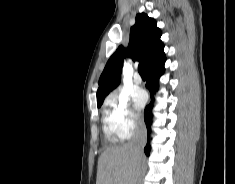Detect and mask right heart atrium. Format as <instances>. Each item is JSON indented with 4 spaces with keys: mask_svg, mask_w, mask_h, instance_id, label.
<instances>
[{
    "mask_svg": "<svg viewBox=\"0 0 235 184\" xmlns=\"http://www.w3.org/2000/svg\"><path fill=\"white\" fill-rule=\"evenodd\" d=\"M104 112L114 133L121 139H129L142 129V122L130 106V98L115 90L107 95L103 103Z\"/></svg>",
    "mask_w": 235,
    "mask_h": 184,
    "instance_id": "right-heart-atrium-1",
    "label": "right heart atrium"
}]
</instances>
